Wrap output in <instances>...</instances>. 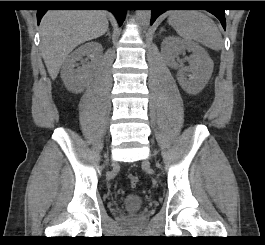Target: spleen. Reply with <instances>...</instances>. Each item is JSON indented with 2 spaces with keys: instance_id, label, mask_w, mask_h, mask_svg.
Instances as JSON below:
<instances>
[{
  "instance_id": "1",
  "label": "spleen",
  "mask_w": 265,
  "mask_h": 245,
  "mask_svg": "<svg viewBox=\"0 0 265 245\" xmlns=\"http://www.w3.org/2000/svg\"><path fill=\"white\" fill-rule=\"evenodd\" d=\"M168 22L185 41L194 40L216 51L223 46L216 24L199 11H172Z\"/></svg>"
}]
</instances>
